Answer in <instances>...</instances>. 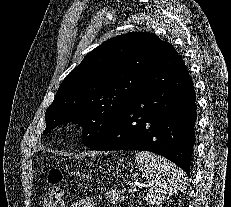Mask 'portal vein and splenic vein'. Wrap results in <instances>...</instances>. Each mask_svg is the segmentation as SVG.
I'll use <instances>...</instances> for the list:
<instances>
[{"mask_svg": "<svg viewBox=\"0 0 231 207\" xmlns=\"http://www.w3.org/2000/svg\"><path fill=\"white\" fill-rule=\"evenodd\" d=\"M137 190V186L134 185L130 188L129 192H135Z\"/></svg>", "mask_w": 231, "mask_h": 207, "instance_id": "1", "label": "portal vein and splenic vein"}]
</instances>
